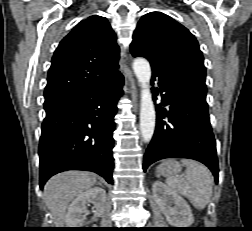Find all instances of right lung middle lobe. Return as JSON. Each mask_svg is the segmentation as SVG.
Listing matches in <instances>:
<instances>
[{"instance_id": "obj_1", "label": "right lung middle lobe", "mask_w": 252, "mask_h": 231, "mask_svg": "<svg viewBox=\"0 0 252 231\" xmlns=\"http://www.w3.org/2000/svg\"><path fill=\"white\" fill-rule=\"evenodd\" d=\"M60 103H61V102L45 103V104H44L45 111H49V110L55 108V107L58 106Z\"/></svg>"}]
</instances>
